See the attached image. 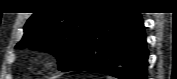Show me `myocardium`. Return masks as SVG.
<instances>
[{
    "label": "myocardium",
    "mask_w": 177,
    "mask_h": 79,
    "mask_svg": "<svg viewBox=\"0 0 177 79\" xmlns=\"http://www.w3.org/2000/svg\"><path fill=\"white\" fill-rule=\"evenodd\" d=\"M54 53L51 50L38 51L34 57L35 65L43 70L50 69L54 64Z\"/></svg>",
    "instance_id": "obj_1"
}]
</instances>
